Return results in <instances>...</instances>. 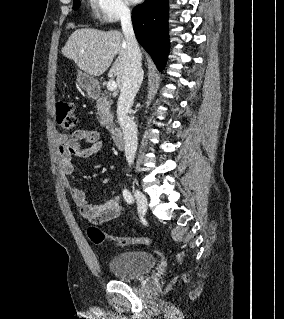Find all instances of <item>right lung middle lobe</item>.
<instances>
[{"instance_id": "obj_1", "label": "right lung middle lobe", "mask_w": 284, "mask_h": 319, "mask_svg": "<svg viewBox=\"0 0 284 319\" xmlns=\"http://www.w3.org/2000/svg\"><path fill=\"white\" fill-rule=\"evenodd\" d=\"M79 7V0H74V9Z\"/></svg>"}]
</instances>
